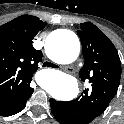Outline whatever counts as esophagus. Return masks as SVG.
<instances>
[{"instance_id":"34e87169","label":"esophagus","mask_w":124,"mask_h":124,"mask_svg":"<svg viewBox=\"0 0 124 124\" xmlns=\"http://www.w3.org/2000/svg\"><path fill=\"white\" fill-rule=\"evenodd\" d=\"M64 71L68 72V73H72L73 72V68L72 67H64Z\"/></svg>"}]
</instances>
